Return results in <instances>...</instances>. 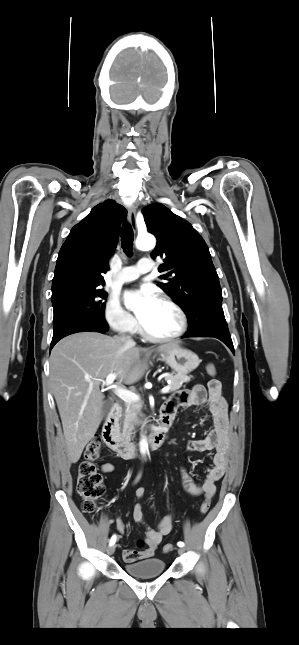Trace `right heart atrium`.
<instances>
[{
    "mask_svg": "<svg viewBox=\"0 0 299 645\" xmlns=\"http://www.w3.org/2000/svg\"><path fill=\"white\" fill-rule=\"evenodd\" d=\"M104 318L108 326L120 333H132L137 329V322L115 298L107 301L104 309Z\"/></svg>",
    "mask_w": 299,
    "mask_h": 645,
    "instance_id": "obj_1",
    "label": "right heart atrium"
}]
</instances>
